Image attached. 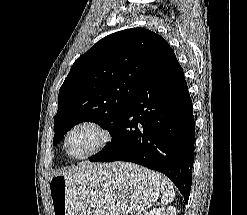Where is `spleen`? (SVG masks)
Wrapping results in <instances>:
<instances>
[{
    "label": "spleen",
    "instance_id": "1",
    "mask_svg": "<svg viewBox=\"0 0 247 215\" xmlns=\"http://www.w3.org/2000/svg\"><path fill=\"white\" fill-rule=\"evenodd\" d=\"M161 192H162V198H161L162 204H168L174 200L175 191L172 184L167 178H163L161 180Z\"/></svg>",
    "mask_w": 247,
    "mask_h": 215
}]
</instances>
